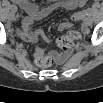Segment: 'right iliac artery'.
Instances as JSON below:
<instances>
[{"instance_id":"obj_1","label":"right iliac artery","mask_w":103,"mask_h":103,"mask_svg":"<svg viewBox=\"0 0 103 103\" xmlns=\"http://www.w3.org/2000/svg\"><path fill=\"white\" fill-rule=\"evenodd\" d=\"M11 11H12V12H16V11H17V7H16L15 5H12V6H11Z\"/></svg>"}]
</instances>
